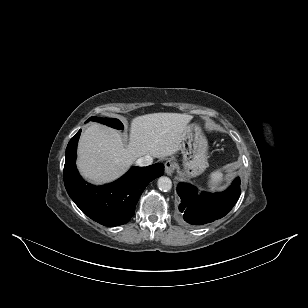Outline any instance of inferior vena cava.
<instances>
[{
	"instance_id": "1",
	"label": "inferior vena cava",
	"mask_w": 308,
	"mask_h": 308,
	"mask_svg": "<svg viewBox=\"0 0 308 308\" xmlns=\"http://www.w3.org/2000/svg\"><path fill=\"white\" fill-rule=\"evenodd\" d=\"M138 166H149L153 163V158L151 156H143L140 157L137 161H136Z\"/></svg>"
}]
</instances>
